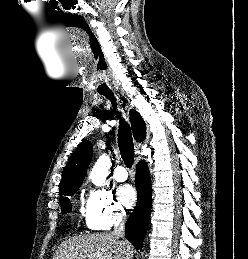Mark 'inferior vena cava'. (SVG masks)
<instances>
[{
    "label": "inferior vena cava",
    "instance_id": "inferior-vena-cava-1",
    "mask_svg": "<svg viewBox=\"0 0 248 259\" xmlns=\"http://www.w3.org/2000/svg\"><path fill=\"white\" fill-rule=\"evenodd\" d=\"M125 229V217L119 213L116 215L114 220V231L112 234L118 238H123Z\"/></svg>",
    "mask_w": 248,
    "mask_h": 259
}]
</instances>
